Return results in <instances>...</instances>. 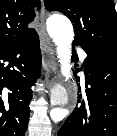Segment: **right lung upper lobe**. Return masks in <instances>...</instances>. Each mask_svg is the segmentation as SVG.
I'll return each mask as SVG.
<instances>
[{
	"label": "right lung upper lobe",
	"mask_w": 117,
	"mask_h": 136,
	"mask_svg": "<svg viewBox=\"0 0 117 136\" xmlns=\"http://www.w3.org/2000/svg\"><path fill=\"white\" fill-rule=\"evenodd\" d=\"M39 0H0V49L35 32L27 25L35 18Z\"/></svg>",
	"instance_id": "cb5924a9"
}]
</instances>
